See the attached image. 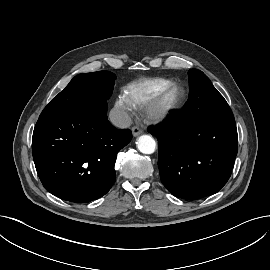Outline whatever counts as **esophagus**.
I'll return each mask as SVG.
<instances>
[{
    "mask_svg": "<svg viewBox=\"0 0 270 270\" xmlns=\"http://www.w3.org/2000/svg\"><path fill=\"white\" fill-rule=\"evenodd\" d=\"M142 133V129L139 126L132 127V134L134 137L139 136Z\"/></svg>",
    "mask_w": 270,
    "mask_h": 270,
    "instance_id": "1",
    "label": "esophagus"
}]
</instances>
